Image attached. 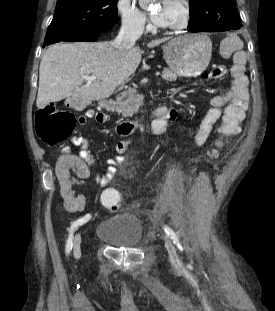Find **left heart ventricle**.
Wrapping results in <instances>:
<instances>
[{
    "label": "left heart ventricle",
    "instance_id": "obj_1",
    "mask_svg": "<svg viewBox=\"0 0 275 311\" xmlns=\"http://www.w3.org/2000/svg\"><path fill=\"white\" fill-rule=\"evenodd\" d=\"M165 26L173 25L179 22L182 16L179 5L174 0H167L164 4Z\"/></svg>",
    "mask_w": 275,
    "mask_h": 311
}]
</instances>
